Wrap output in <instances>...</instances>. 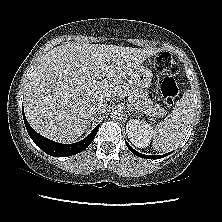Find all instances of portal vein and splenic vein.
Here are the masks:
<instances>
[{"instance_id": "1", "label": "portal vein and splenic vein", "mask_w": 222, "mask_h": 222, "mask_svg": "<svg viewBox=\"0 0 222 222\" xmlns=\"http://www.w3.org/2000/svg\"><path fill=\"white\" fill-rule=\"evenodd\" d=\"M97 83V80H93V84Z\"/></svg>"}]
</instances>
